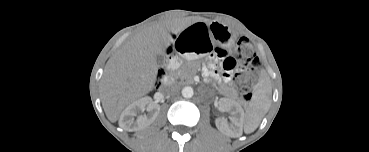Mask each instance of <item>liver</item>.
<instances>
[{"mask_svg": "<svg viewBox=\"0 0 369 152\" xmlns=\"http://www.w3.org/2000/svg\"><path fill=\"white\" fill-rule=\"evenodd\" d=\"M177 21H159L137 32L106 63L100 82L102 106L107 118L116 122L129 104L151 92L159 65L173 42L170 32L178 33Z\"/></svg>", "mask_w": 369, "mask_h": 152, "instance_id": "liver-1", "label": "liver"}]
</instances>
